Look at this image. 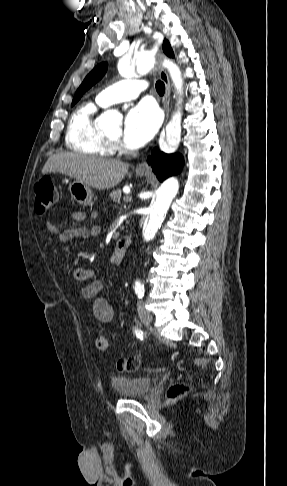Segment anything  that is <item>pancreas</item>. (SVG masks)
Instances as JSON below:
<instances>
[{
	"label": "pancreas",
	"instance_id": "1",
	"mask_svg": "<svg viewBox=\"0 0 287 486\" xmlns=\"http://www.w3.org/2000/svg\"><path fill=\"white\" fill-rule=\"evenodd\" d=\"M122 192L121 190H115L112 193H110V198L113 202H119L121 199Z\"/></svg>",
	"mask_w": 287,
	"mask_h": 486
}]
</instances>
